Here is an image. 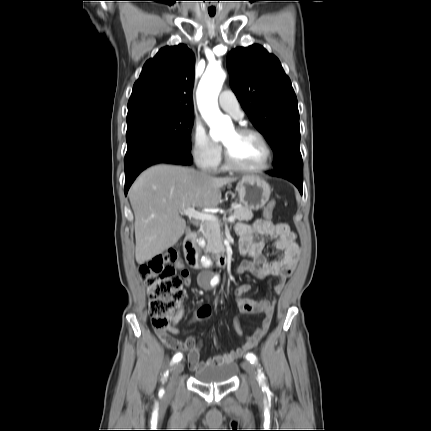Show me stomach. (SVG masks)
Here are the masks:
<instances>
[{"label":"stomach","mask_w":431,"mask_h":431,"mask_svg":"<svg viewBox=\"0 0 431 431\" xmlns=\"http://www.w3.org/2000/svg\"><path fill=\"white\" fill-rule=\"evenodd\" d=\"M239 201L251 210L264 207L270 197V186L263 179L256 176L243 177L236 185Z\"/></svg>","instance_id":"0dacf381"}]
</instances>
